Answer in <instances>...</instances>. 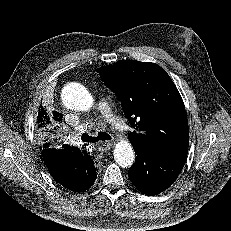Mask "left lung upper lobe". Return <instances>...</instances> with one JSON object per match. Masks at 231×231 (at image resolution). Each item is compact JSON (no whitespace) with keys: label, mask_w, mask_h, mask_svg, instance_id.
Wrapping results in <instances>:
<instances>
[{"label":"left lung upper lobe","mask_w":231,"mask_h":231,"mask_svg":"<svg viewBox=\"0 0 231 231\" xmlns=\"http://www.w3.org/2000/svg\"><path fill=\"white\" fill-rule=\"evenodd\" d=\"M98 71L135 129L128 135L134 148L147 147L171 157L187 156L185 106L164 69L155 63L121 60Z\"/></svg>","instance_id":"left-lung-upper-lobe-1"}]
</instances>
